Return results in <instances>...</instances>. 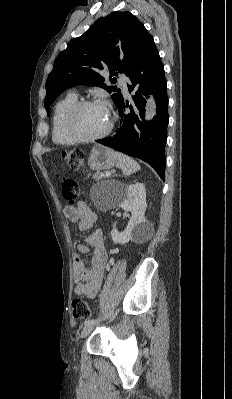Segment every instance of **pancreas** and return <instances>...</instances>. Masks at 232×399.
<instances>
[{
	"mask_svg": "<svg viewBox=\"0 0 232 399\" xmlns=\"http://www.w3.org/2000/svg\"><path fill=\"white\" fill-rule=\"evenodd\" d=\"M93 178H95V180L97 182V180H104V178H108V176H106V172H96V174H94Z\"/></svg>",
	"mask_w": 232,
	"mask_h": 399,
	"instance_id": "pancreas-1",
	"label": "pancreas"
}]
</instances>
